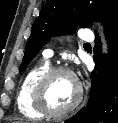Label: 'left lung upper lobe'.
Segmentation results:
<instances>
[{"instance_id": "1", "label": "left lung upper lobe", "mask_w": 118, "mask_h": 123, "mask_svg": "<svg viewBox=\"0 0 118 123\" xmlns=\"http://www.w3.org/2000/svg\"><path fill=\"white\" fill-rule=\"evenodd\" d=\"M118 14V0H48L32 25L22 70L54 35L72 34L89 28L93 20L104 26Z\"/></svg>"}]
</instances>
